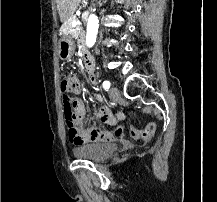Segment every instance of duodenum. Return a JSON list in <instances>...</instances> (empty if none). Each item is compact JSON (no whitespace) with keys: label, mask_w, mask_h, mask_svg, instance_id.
I'll use <instances>...</instances> for the list:
<instances>
[{"label":"duodenum","mask_w":217,"mask_h":202,"mask_svg":"<svg viewBox=\"0 0 217 202\" xmlns=\"http://www.w3.org/2000/svg\"><path fill=\"white\" fill-rule=\"evenodd\" d=\"M83 62L85 69L90 77L94 76L95 64L93 57L87 52L83 51Z\"/></svg>","instance_id":"duodenum-1"}]
</instances>
